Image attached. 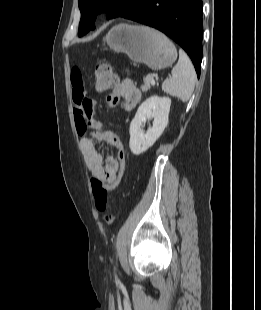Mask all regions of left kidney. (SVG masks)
Segmentation results:
<instances>
[{
  "mask_svg": "<svg viewBox=\"0 0 261 310\" xmlns=\"http://www.w3.org/2000/svg\"><path fill=\"white\" fill-rule=\"evenodd\" d=\"M171 106L169 97L152 96L138 108L130 124L129 147L134 155H140L148 150L161 136L168 123ZM154 119L153 126L143 132V123Z\"/></svg>",
  "mask_w": 261,
  "mask_h": 310,
  "instance_id": "5707ae66",
  "label": "left kidney"
}]
</instances>
